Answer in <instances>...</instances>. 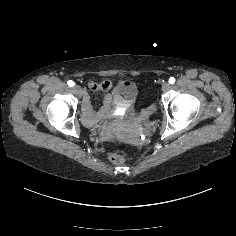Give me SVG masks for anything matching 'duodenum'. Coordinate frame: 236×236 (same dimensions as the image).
Wrapping results in <instances>:
<instances>
[{
    "instance_id": "duodenum-1",
    "label": "duodenum",
    "mask_w": 236,
    "mask_h": 236,
    "mask_svg": "<svg viewBox=\"0 0 236 236\" xmlns=\"http://www.w3.org/2000/svg\"><path fill=\"white\" fill-rule=\"evenodd\" d=\"M111 98L109 95L105 98L104 106L96 113L92 111V106L90 103V98L87 94L84 95L83 102V119L88 125H93L102 119L109 112V104Z\"/></svg>"
}]
</instances>
